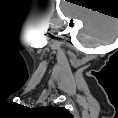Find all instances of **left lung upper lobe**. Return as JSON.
I'll return each instance as SVG.
<instances>
[{"label": "left lung upper lobe", "mask_w": 118, "mask_h": 118, "mask_svg": "<svg viewBox=\"0 0 118 118\" xmlns=\"http://www.w3.org/2000/svg\"><path fill=\"white\" fill-rule=\"evenodd\" d=\"M44 109H46L49 113L55 115V117L57 115H60V116H62V115H67V116L70 115V113L68 112V110H66L64 108H57V107H51V106H49V107H46Z\"/></svg>", "instance_id": "left-lung-upper-lobe-1"}]
</instances>
